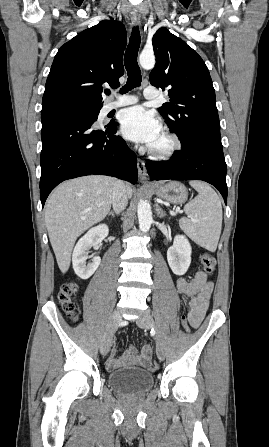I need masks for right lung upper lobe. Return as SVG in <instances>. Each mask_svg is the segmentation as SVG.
<instances>
[{"instance_id": "cb5924a9", "label": "right lung upper lobe", "mask_w": 269, "mask_h": 447, "mask_svg": "<svg viewBox=\"0 0 269 447\" xmlns=\"http://www.w3.org/2000/svg\"><path fill=\"white\" fill-rule=\"evenodd\" d=\"M127 33L118 21H101L57 52L45 85L42 109L103 104V83L119 85Z\"/></svg>"}]
</instances>
